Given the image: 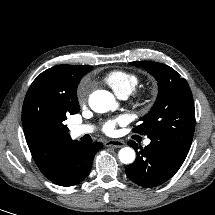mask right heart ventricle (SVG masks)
Wrapping results in <instances>:
<instances>
[{"instance_id": "e07e8e85", "label": "right heart ventricle", "mask_w": 215, "mask_h": 215, "mask_svg": "<svg viewBox=\"0 0 215 215\" xmlns=\"http://www.w3.org/2000/svg\"><path fill=\"white\" fill-rule=\"evenodd\" d=\"M103 81L118 95L128 96L140 82L138 74L127 70H112L106 73Z\"/></svg>"}]
</instances>
